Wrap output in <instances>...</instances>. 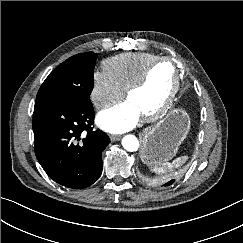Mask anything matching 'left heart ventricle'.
<instances>
[{
    "label": "left heart ventricle",
    "mask_w": 243,
    "mask_h": 243,
    "mask_svg": "<svg viewBox=\"0 0 243 243\" xmlns=\"http://www.w3.org/2000/svg\"><path fill=\"white\" fill-rule=\"evenodd\" d=\"M175 76L174 66L170 62L156 64L150 72L148 80L139 89L132 92L130 100L142 114L157 108L168 95Z\"/></svg>",
    "instance_id": "left-heart-ventricle-1"
}]
</instances>
